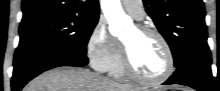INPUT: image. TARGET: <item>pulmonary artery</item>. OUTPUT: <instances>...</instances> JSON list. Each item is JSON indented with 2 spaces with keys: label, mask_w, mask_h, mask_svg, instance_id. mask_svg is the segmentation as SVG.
I'll return each mask as SVG.
<instances>
[{
  "label": "pulmonary artery",
  "mask_w": 220,
  "mask_h": 91,
  "mask_svg": "<svg viewBox=\"0 0 220 91\" xmlns=\"http://www.w3.org/2000/svg\"><path fill=\"white\" fill-rule=\"evenodd\" d=\"M122 6L126 12H128L136 20H141L144 17V10L142 1L140 0H123Z\"/></svg>",
  "instance_id": "pulmonary-artery-1"
}]
</instances>
